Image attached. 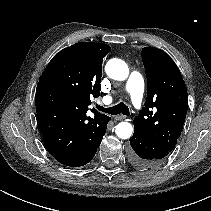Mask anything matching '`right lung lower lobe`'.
Returning a JSON list of instances; mask_svg holds the SVG:
<instances>
[{
    "label": "right lung lower lobe",
    "mask_w": 211,
    "mask_h": 211,
    "mask_svg": "<svg viewBox=\"0 0 211 211\" xmlns=\"http://www.w3.org/2000/svg\"><path fill=\"white\" fill-rule=\"evenodd\" d=\"M88 106L74 95L46 85L36 89V112L48 152L61 164L79 167L92 160L106 133L110 117Z\"/></svg>",
    "instance_id": "1"
}]
</instances>
